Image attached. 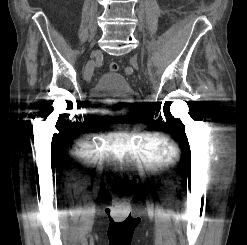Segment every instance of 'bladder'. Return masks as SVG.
Returning a JSON list of instances; mask_svg holds the SVG:
<instances>
[{"instance_id":"1","label":"bladder","mask_w":247,"mask_h":245,"mask_svg":"<svg viewBox=\"0 0 247 245\" xmlns=\"http://www.w3.org/2000/svg\"><path fill=\"white\" fill-rule=\"evenodd\" d=\"M90 97L97 107L133 99L135 93L126 78L117 72L102 74L90 91Z\"/></svg>"}]
</instances>
